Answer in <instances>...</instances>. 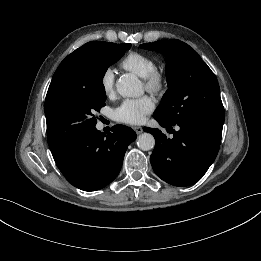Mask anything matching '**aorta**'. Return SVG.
<instances>
[{
    "mask_svg": "<svg viewBox=\"0 0 261 261\" xmlns=\"http://www.w3.org/2000/svg\"><path fill=\"white\" fill-rule=\"evenodd\" d=\"M118 93L123 97H138L144 92L143 85L133 73H126L120 76L116 82ZM139 149L148 151L154 148L155 139L150 133H142L137 138Z\"/></svg>",
    "mask_w": 261,
    "mask_h": 261,
    "instance_id": "aorta-1",
    "label": "aorta"
}]
</instances>
